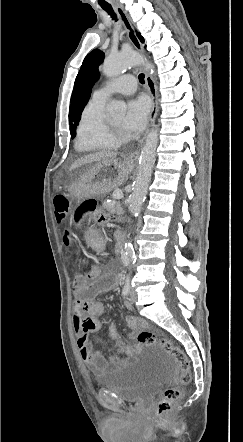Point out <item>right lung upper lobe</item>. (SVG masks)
Here are the masks:
<instances>
[{
	"instance_id": "1",
	"label": "right lung upper lobe",
	"mask_w": 243,
	"mask_h": 442,
	"mask_svg": "<svg viewBox=\"0 0 243 442\" xmlns=\"http://www.w3.org/2000/svg\"><path fill=\"white\" fill-rule=\"evenodd\" d=\"M69 121H72V117H71V107H70V111H69Z\"/></svg>"
}]
</instances>
